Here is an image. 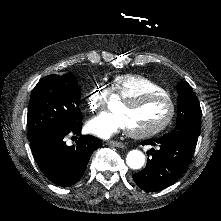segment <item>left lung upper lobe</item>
Here are the masks:
<instances>
[{"mask_svg":"<svg viewBox=\"0 0 221 221\" xmlns=\"http://www.w3.org/2000/svg\"><path fill=\"white\" fill-rule=\"evenodd\" d=\"M178 115L174 131L198 139L201 125V108L192 87L185 81L178 83Z\"/></svg>","mask_w":221,"mask_h":221,"instance_id":"1","label":"left lung upper lobe"}]
</instances>
